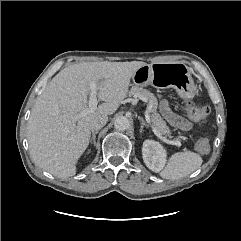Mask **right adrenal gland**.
Instances as JSON below:
<instances>
[{
	"instance_id": "1",
	"label": "right adrenal gland",
	"mask_w": 241,
	"mask_h": 241,
	"mask_svg": "<svg viewBox=\"0 0 241 241\" xmlns=\"http://www.w3.org/2000/svg\"><path fill=\"white\" fill-rule=\"evenodd\" d=\"M97 133H98V131H94V132L92 133V137H91V139H90V143L93 142L94 146H95V144H96V134H97Z\"/></svg>"
}]
</instances>
